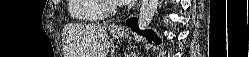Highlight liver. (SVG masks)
Here are the masks:
<instances>
[{"label": "liver", "mask_w": 249, "mask_h": 57, "mask_svg": "<svg viewBox=\"0 0 249 57\" xmlns=\"http://www.w3.org/2000/svg\"><path fill=\"white\" fill-rule=\"evenodd\" d=\"M105 25L71 24L64 28L70 57H106L110 41Z\"/></svg>", "instance_id": "liver-1"}]
</instances>
